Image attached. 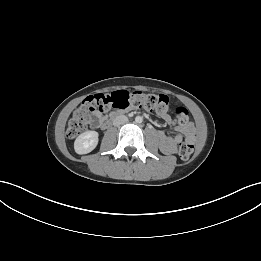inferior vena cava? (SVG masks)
<instances>
[{
    "label": "inferior vena cava",
    "instance_id": "obj_1",
    "mask_svg": "<svg viewBox=\"0 0 261 261\" xmlns=\"http://www.w3.org/2000/svg\"><path fill=\"white\" fill-rule=\"evenodd\" d=\"M127 121H128V118L124 115H121V116H118L114 119L113 125L114 126H120V125L127 123Z\"/></svg>",
    "mask_w": 261,
    "mask_h": 261
}]
</instances>
